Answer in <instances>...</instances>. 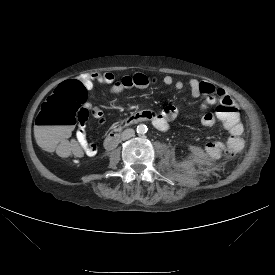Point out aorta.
I'll use <instances>...</instances> for the list:
<instances>
[{
    "label": "aorta",
    "instance_id": "1",
    "mask_svg": "<svg viewBox=\"0 0 275 275\" xmlns=\"http://www.w3.org/2000/svg\"><path fill=\"white\" fill-rule=\"evenodd\" d=\"M137 133L138 134H145L146 132H147V126L145 125V124H139L138 126H137Z\"/></svg>",
    "mask_w": 275,
    "mask_h": 275
}]
</instances>
